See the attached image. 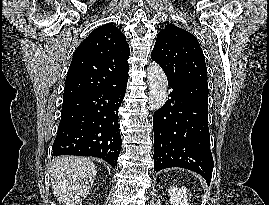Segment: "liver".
<instances>
[{"mask_svg":"<svg viewBox=\"0 0 269 205\" xmlns=\"http://www.w3.org/2000/svg\"><path fill=\"white\" fill-rule=\"evenodd\" d=\"M50 174L57 200L66 205H77L89 194L97 167L88 158L60 156L52 161Z\"/></svg>","mask_w":269,"mask_h":205,"instance_id":"6515ba94","label":"liver"}]
</instances>
